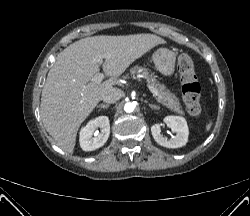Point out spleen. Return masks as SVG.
<instances>
[{"mask_svg": "<svg viewBox=\"0 0 250 216\" xmlns=\"http://www.w3.org/2000/svg\"><path fill=\"white\" fill-rule=\"evenodd\" d=\"M213 125V121L211 119L208 120V122L205 125V133H208Z\"/></svg>", "mask_w": 250, "mask_h": 216, "instance_id": "1", "label": "spleen"}]
</instances>
